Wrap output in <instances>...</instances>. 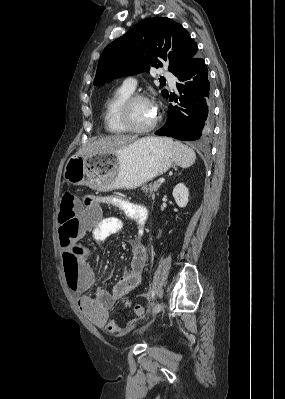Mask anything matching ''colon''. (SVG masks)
I'll use <instances>...</instances> for the list:
<instances>
[{
  "label": "colon",
  "instance_id": "1",
  "mask_svg": "<svg viewBox=\"0 0 285 399\" xmlns=\"http://www.w3.org/2000/svg\"><path fill=\"white\" fill-rule=\"evenodd\" d=\"M94 198L90 199L87 203L93 201ZM79 206L78 198L75 194L67 192L64 194L61 200L60 216L59 221L63 228L69 230L73 235L77 233V223L68 222L73 217L75 209ZM83 251L78 245H71L63 254V265L64 273L66 278L71 282L75 283L80 273L81 259ZM135 315L139 316L144 312V308L141 305H136L133 308ZM116 322V321H115ZM120 326L124 324L118 323Z\"/></svg>",
  "mask_w": 285,
  "mask_h": 399
}]
</instances>
